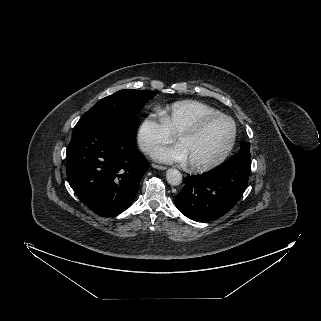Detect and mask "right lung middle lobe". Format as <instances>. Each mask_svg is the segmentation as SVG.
<instances>
[{"label":"right lung middle lobe","mask_w":321,"mask_h":321,"mask_svg":"<svg viewBox=\"0 0 321 321\" xmlns=\"http://www.w3.org/2000/svg\"><path fill=\"white\" fill-rule=\"evenodd\" d=\"M156 94L154 91L120 90L97 102L81 117L74 130L126 123L133 132H136L139 122L135 115Z\"/></svg>","instance_id":"obj_1"}]
</instances>
